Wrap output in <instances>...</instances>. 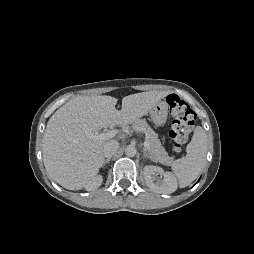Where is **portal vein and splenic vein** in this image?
<instances>
[{
	"label": "portal vein and splenic vein",
	"instance_id": "obj_1",
	"mask_svg": "<svg viewBox=\"0 0 254 254\" xmlns=\"http://www.w3.org/2000/svg\"><path fill=\"white\" fill-rule=\"evenodd\" d=\"M117 133H118L117 130H109V131L106 132V133L89 134V137H90L92 140L104 141V140H108V139H110V138L116 136ZM144 146H145L146 148L149 147V142H148L147 140H145Z\"/></svg>",
	"mask_w": 254,
	"mask_h": 254
}]
</instances>
